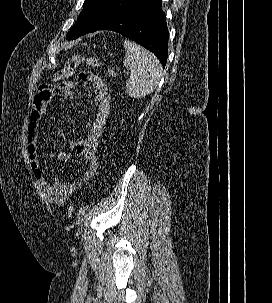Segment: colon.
Segmentation results:
<instances>
[{
    "label": "colon",
    "instance_id": "colon-1",
    "mask_svg": "<svg viewBox=\"0 0 272 303\" xmlns=\"http://www.w3.org/2000/svg\"><path fill=\"white\" fill-rule=\"evenodd\" d=\"M87 63L88 65L98 68L101 67L102 62L101 60L96 57V56H75L71 59H69L65 65V67L59 71L58 73H56L54 75V80L56 82L62 81L66 78H69L75 71L76 67L80 64V63ZM108 75L112 78H115L117 76V72L113 69V68H109L107 71ZM51 86H55V85H51ZM75 211V208L72 204H70L67 208V213L69 216L73 215Z\"/></svg>",
    "mask_w": 272,
    "mask_h": 303
}]
</instances>
